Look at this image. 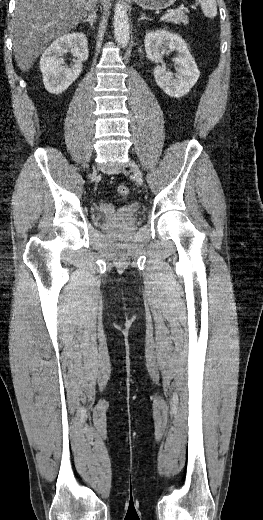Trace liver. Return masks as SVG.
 <instances>
[{"label": "liver", "mask_w": 263, "mask_h": 520, "mask_svg": "<svg viewBox=\"0 0 263 520\" xmlns=\"http://www.w3.org/2000/svg\"><path fill=\"white\" fill-rule=\"evenodd\" d=\"M91 0H16L12 26L15 60L26 72L47 45L87 16ZM108 7L109 0H103Z\"/></svg>", "instance_id": "liver-1"}]
</instances>
